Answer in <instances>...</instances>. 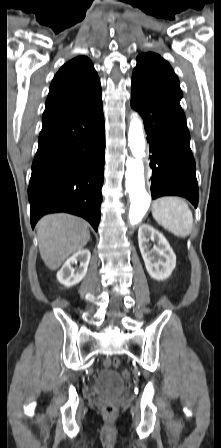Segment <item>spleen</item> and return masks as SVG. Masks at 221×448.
Here are the masks:
<instances>
[{
  "label": "spleen",
  "instance_id": "1",
  "mask_svg": "<svg viewBox=\"0 0 221 448\" xmlns=\"http://www.w3.org/2000/svg\"><path fill=\"white\" fill-rule=\"evenodd\" d=\"M152 215L164 229L177 237L188 236L193 228V215L188 204L178 197H161L152 204Z\"/></svg>",
  "mask_w": 221,
  "mask_h": 448
}]
</instances>
